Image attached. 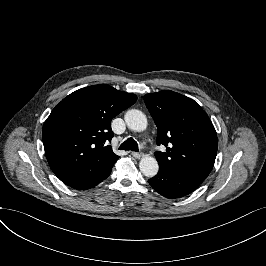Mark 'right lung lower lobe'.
Returning a JSON list of instances; mask_svg holds the SVG:
<instances>
[{
	"label": "right lung lower lobe",
	"mask_w": 266,
	"mask_h": 266,
	"mask_svg": "<svg viewBox=\"0 0 266 266\" xmlns=\"http://www.w3.org/2000/svg\"><path fill=\"white\" fill-rule=\"evenodd\" d=\"M111 169L112 168L104 171L102 174H99L95 177H91L89 179H86V180L82 181L81 183L75 184L72 187L75 189H78V190L90 189V188L96 186L98 183H100L104 179H106L110 175Z\"/></svg>",
	"instance_id": "98d812e1"
}]
</instances>
